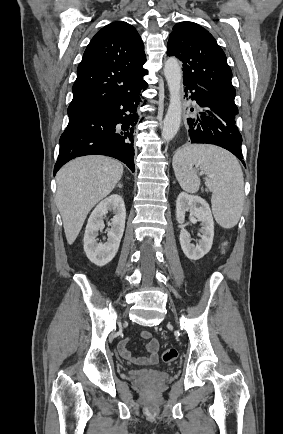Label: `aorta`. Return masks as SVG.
<instances>
[{
	"label": "aorta",
	"mask_w": 283,
	"mask_h": 434,
	"mask_svg": "<svg viewBox=\"0 0 283 434\" xmlns=\"http://www.w3.org/2000/svg\"><path fill=\"white\" fill-rule=\"evenodd\" d=\"M164 75L170 93V103L164 119L162 138L165 141H170L180 128L182 116V70L176 58L170 57L167 59L164 64Z\"/></svg>",
	"instance_id": "aorta-1"
}]
</instances>
